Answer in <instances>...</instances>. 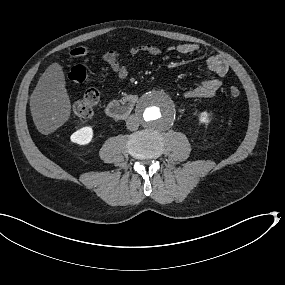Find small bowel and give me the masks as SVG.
Segmentation results:
<instances>
[{"instance_id": "c3829d8e", "label": "small bowel", "mask_w": 285, "mask_h": 285, "mask_svg": "<svg viewBox=\"0 0 285 285\" xmlns=\"http://www.w3.org/2000/svg\"><path fill=\"white\" fill-rule=\"evenodd\" d=\"M199 47L196 44L183 43L172 46L169 48L179 54L190 55L197 52ZM126 52L135 56L140 53H145L151 56H158L161 54V49L152 44L135 45L126 50ZM122 51L109 50L103 55V60L107 62L115 72L117 82L124 80L128 75V69L121 63ZM208 70L211 72L212 77L201 82L200 84L185 91L184 96L187 99H205L213 97L220 89L222 82L221 78L228 71V64L224 58L219 55H212L206 59Z\"/></svg>"}]
</instances>
